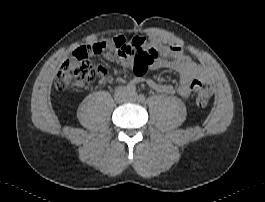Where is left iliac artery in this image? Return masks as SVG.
Instances as JSON below:
<instances>
[{
    "mask_svg": "<svg viewBox=\"0 0 265 202\" xmlns=\"http://www.w3.org/2000/svg\"><path fill=\"white\" fill-rule=\"evenodd\" d=\"M136 99L138 102H144L146 98L143 94H139L138 96H136Z\"/></svg>",
    "mask_w": 265,
    "mask_h": 202,
    "instance_id": "left-iliac-artery-1",
    "label": "left iliac artery"
}]
</instances>
